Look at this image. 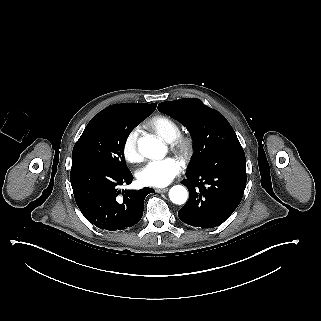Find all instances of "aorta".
Returning <instances> with one entry per match:
<instances>
[{
  "instance_id": "aorta-1",
  "label": "aorta",
  "mask_w": 321,
  "mask_h": 321,
  "mask_svg": "<svg viewBox=\"0 0 321 321\" xmlns=\"http://www.w3.org/2000/svg\"><path fill=\"white\" fill-rule=\"evenodd\" d=\"M138 148L142 155L147 158H159L165 155L164 144L153 137H142L138 141ZM170 200L178 205L184 204L188 198V192L184 186H173L169 191Z\"/></svg>"
}]
</instances>
